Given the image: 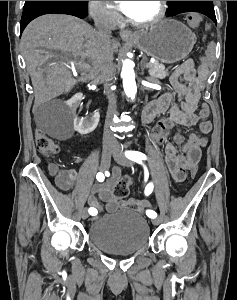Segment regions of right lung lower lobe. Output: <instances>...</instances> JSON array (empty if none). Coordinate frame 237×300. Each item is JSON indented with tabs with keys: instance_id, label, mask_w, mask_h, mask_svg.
Instances as JSON below:
<instances>
[{
	"instance_id": "98d812e1",
	"label": "right lung lower lobe",
	"mask_w": 237,
	"mask_h": 300,
	"mask_svg": "<svg viewBox=\"0 0 237 300\" xmlns=\"http://www.w3.org/2000/svg\"><path fill=\"white\" fill-rule=\"evenodd\" d=\"M51 13L68 14L79 18H84L87 16L86 1L48 5L40 7L28 14L22 15V19L20 22V34H22L25 27L33 19L38 16Z\"/></svg>"
}]
</instances>
